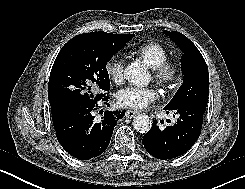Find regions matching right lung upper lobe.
<instances>
[{
  "mask_svg": "<svg viewBox=\"0 0 245 189\" xmlns=\"http://www.w3.org/2000/svg\"><path fill=\"white\" fill-rule=\"evenodd\" d=\"M92 36L99 37L112 44H123L130 40L132 34H111L102 31L86 33ZM132 39V38H131Z\"/></svg>",
  "mask_w": 245,
  "mask_h": 189,
  "instance_id": "right-lung-upper-lobe-1",
  "label": "right lung upper lobe"
}]
</instances>
